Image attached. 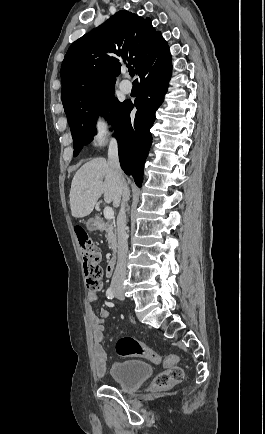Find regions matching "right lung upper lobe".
Here are the masks:
<instances>
[{
	"instance_id": "obj_1",
	"label": "right lung upper lobe",
	"mask_w": 265,
	"mask_h": 434,
	"mask_svg": "<svg viewBox=\"0 0 265 434\" xmlns=\"http://www.w3.org/2000/svg\"><path fill=\"white\" fill-rule=\"evenodd\" d=\"M167 51L150 18L120 10L69 47L60 69L62 102L115 84L123 61L139 75L145 62Z\"/></svg>"
}]
</instances>
